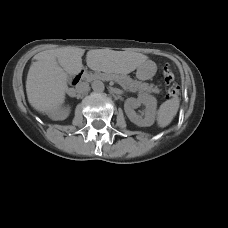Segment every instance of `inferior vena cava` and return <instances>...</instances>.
I'll list each match as a JSON object with an SVG mask.
<instances>
[{
	"label": "inferior vena cava",
	"instance_id": "inferior-vena-cava-1",
	"mask_svg": "<svg viewBox=\"0 0 228 228\" xmlns=\"http://www.w3.org/2000/svg\"><path fill=\"white\" fill-rule=\"evenodd\" d=\"M90 90V87L88 84L86 83H79L78 85H76V87L72 90V96L76 97V98H81L83 97L85 94H87Z\"/></svg>",
	"mask_w": 228,
	"mask_h": 228
}]
</instances>
